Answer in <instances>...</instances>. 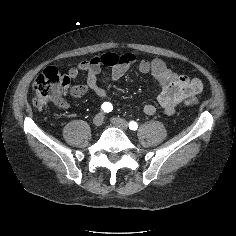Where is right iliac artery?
<instances>
[{
    "label": "right iliac artery",
    "mask_w": 236,
    "mask_h": 236,
    "mask_svg": "<svg viewBox=\"0 0 236 236\" xmlns=\"http://www.w3.org/2000/svg\"><path fill=\"white\" fill-rule=\"evenodd\" d=\"M101 108H102V110H103L104 112H106V113L111 112V111L113 110V106H112V104L109 103V102L103 103L102 106H101Z\"/></svg>",
    "instance_id": "right-iliac-artery-1"
}]
</instances>
